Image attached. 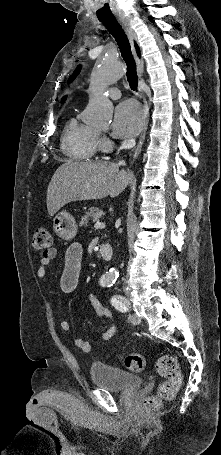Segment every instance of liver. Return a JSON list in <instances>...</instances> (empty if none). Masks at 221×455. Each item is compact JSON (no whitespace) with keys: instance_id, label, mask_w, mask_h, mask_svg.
<instances>
[{"instance_id":"liver-1","label":"liver","mask_w":221,"mask_h":455,"mask_svg":"<svg viewBox=\"0 0 221 455\" xmlns=\"http://www.w3.org/2000/svg\"><path fill=\"white\" fill-rule=\"evenodd\" d=\"M131 176L110 162L66 161L55 171L47 189V210L54 216L70 202L116 197Z\"/></svg>"}]
</instances>
